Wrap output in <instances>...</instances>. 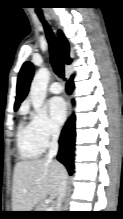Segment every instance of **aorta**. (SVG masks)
<instances>
[{"label":"aorta","mask_w":123,"mask_h":219,"mask_svg":"<svg viewBox=\"0 0 123 219\" xmlns=\"http://www.w3.org/2000/svg\"><path fill=\"white\" fill-rule=\"evenodd\" d=\"M49 79L50 71L47 68H40L32 80L29 94L36 111H40L44 104Z\"/></svg>","instance_id":"1"}]
</instances>
